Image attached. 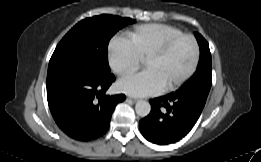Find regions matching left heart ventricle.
<instances>
[{
    "instance_id": "1",
    "label": "left heart ventricle",
    "mask_w": 261,
    "mask_h": 162,
    "mask_svg": "<svg viewBox=\"0 0 261 162\" xmlns=\"http://www.w3.org/2000/svg\"><path fill=\"white\" fill-rule=\"evenodd\" d=\"M194 58V47L187 39L178 41L165 55L145 62L147 69L154 70L164 86L181 78L190 68Z\"/></svg>"
}]
</instances>
